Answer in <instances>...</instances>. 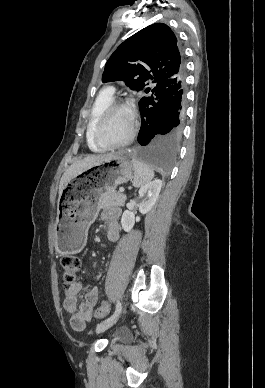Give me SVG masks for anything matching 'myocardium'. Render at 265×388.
<instances>
[{
	"label": "myocardium",
	"mask_w": 265,
	"mask_h": 388,
	"mask_svg": "<svg viewBox=\"0 0 265 388\" xmlns=\"http://www.w3.org/2000/svg\"><path fill=\"white\" fill-rule=\"evenodd\" d=\"M113 110H124L130 114L128 106L125 104H122V103L112 102L102 109V111L98 115V117L94 123V126H93L94 141L96 142V144H98L101 147H106V148L123 147V146L127 145L134 138V136L136 134V124H135L133 118L131 117L130 129H129L128 133L121 140L114 142V143H109V142L104 141L100 137V126H101L104 118L107 116V114Z\"/></svg>",
	"instance_id": "obj_1"
}]
</instances>
